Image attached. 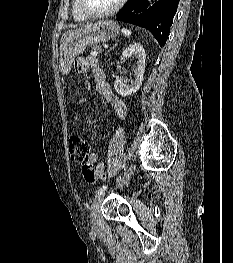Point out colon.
<instances>
[{
	"instance_id": "1",
	"label": "colon",
	"mask_w": 233,
	"mask_h": 263,
	"mask_svg": "<svg viewBox=\"0 0 233 263\" xmlns=\"http://www.w3.org/2000/svg\"><path fill=\"white\" fill-rule=\"evenodd\" d=\"M91 147L88 141L79 136H72L69 140V154L73 162L82 165L84 177L89 182H94L97 179H104L106 173L104 169H93L88 164Z\"/></svg>"
}]
</instances>
